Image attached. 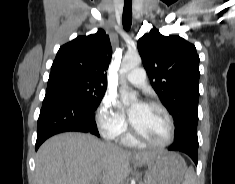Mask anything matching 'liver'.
<instances>
[{
	"label": "liver",
	"instance_id": "liver-1",
	"mask_svg": "<svg viewBox=\"0 0 235 184\" xmlns=\"http://www.w3.org/2000/svg\"><path fill=\"white\" fill-rule=\"evenodd\" d=\"M158 152H126L91 134L66 132L49 138L36 154L37 184H121L129 176L130 160L135 166L150 162Z\"/></svg>",
	"mask_w": 235,
	"mask_h": 184
}]
</instances>
